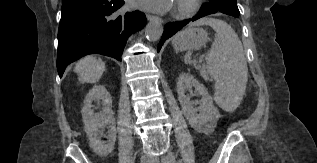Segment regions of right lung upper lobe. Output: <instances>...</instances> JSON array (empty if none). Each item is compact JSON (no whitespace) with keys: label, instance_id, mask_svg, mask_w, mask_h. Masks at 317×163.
<instances>
[{"label":"right lung upper lobe","instance_id":"right-lung-upper-lobe-1","mask_svg":"<svg viewBox=\"0 0 317 163\" xmlns=\"http://www.w3.org/2000/svg\"><path fill=\"white\" fill-rule=\"evenodd\" d=\"M67 1H71V0H63V2H67Z\"/></svg>","mask_w":317,"mask_h":163}]
</instances>
